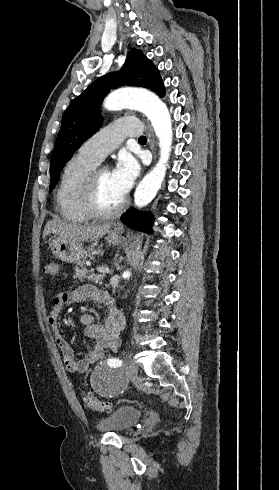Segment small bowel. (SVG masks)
I'll use <instances>...</instances> for the list:
<instances>
[{
	"label": "small bowel",
	"mask_w": 279,
	"mask_h": 490,
	"mask_svg": "<svg viewBox=\"0 0 279 490\" xmlns=\"http://www.w3.org/2000/svg\"><path fill=\"white\" fill-rule=\"evenodd\" d=\"M88 300L104 305L106 313L101 323L97 322L93 314L80 315L79 322L84 327L85 335L94 340V346L83 359L76 360L73 348L61 331L58 317L66 305ZM48 322L62 353L64 365L71 372H85L90 365L101 360L107 351H116L120 346V335L125 328L123 314L118 310L114 298L106 291L88 284L56 295Z\"/></svg>",
	"instance_id": "small-bowel-1"
}]
</instances>
